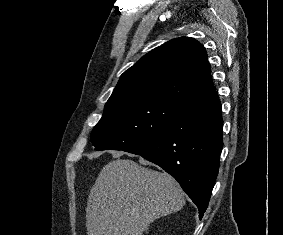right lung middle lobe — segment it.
Segmentation results:
<instances>
[{"mask_svg": "<svg viewBox=\"0 0 283 235\" xmlns=\"http://www.w3.org/2000/svg\"><path fill=\"white\" fill-rule=\"evenodd\" d=\"M185 104L165 98L127 99L105 105L94 127L95 150H125L165 130L183 111Z\"/></svg>", "mask_w": 283, "mask_h": 235, "instance_id": "right-lung-middle-lobe-1", "label": "right lung middle lobe"}]
</instances>
